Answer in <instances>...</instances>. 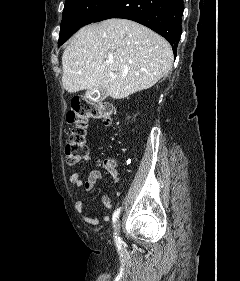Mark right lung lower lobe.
<instances>
[{"label": "right lung lower lobe", "mask_w": 240, "mask_h": 281, "mask_svg": "<svg viewBox=\"0 0 240 281\" xmlns=\"http://www.w3.org/2000/svg\"><path fill=\"white\" fill-rule=\"evenodd\" d=\"M183 10V0H116L94 22L110 18L136 21L162 35L176 54Z\"/></svg>", "instance_id": "obj_1"}]
</instances>
